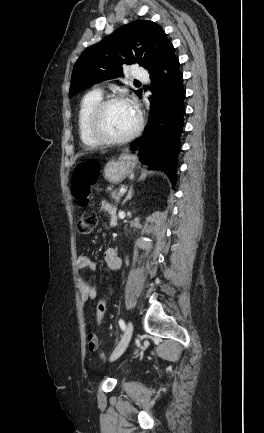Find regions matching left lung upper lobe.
<instances>
[{"label": "left lung upper lobe", "mask_w": 264, "mask_h": 433, "mask_svg": "<svg viewBox=\"0 0 264 433\" xmlns=\"http://www.w3.org/2000/svg\"><path fill=\"white\" fill-rule=\"evenodd\" d=\"M172 51V43L156 23L137 20L126 24L82 53L72 72L70 97L121 75L124 64L138 63L150 72ZM135 93L140 97L142 90Z\"/></svg>", "instance_id": "1"}]
</instances>
